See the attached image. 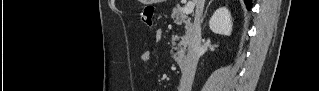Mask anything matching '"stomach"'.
<instances>
[{
    "label": "stomach",
    "mask_w": 319,
    "mask_h": 91,
    "mask_svg": "<svg viewBox=\"0 0 319 91\" xmlns=\"http://www.w3.org/2000/svg\"><path fill=\"white\" fill-rule=\"evenodd\" d=\"M144 3H156V2H159L160 0H143Z\"/></svg>",
    "instance_id": "stomach-1"
}]
</instances>
